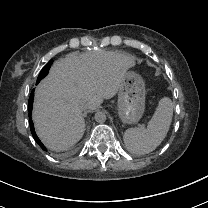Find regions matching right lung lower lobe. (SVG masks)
<instances>
[{"label":"right lung lower lobe","instance_id":"right-lung-lower-lobe-1","mask_svg":"<svg viewBox=\"0 0 208 208\" xmlns=\"http://www.w3.org/2000/svg\"><path fill=\"white\" fill-rule=\"evenodd\" d=\"M52 64V60L49 61L46 65H45V72H46V75L48 74V71L50 69V66ZM45 75V76H46ZM39 83V82H38ZM37 83V84H38ZM33 99H34V90H32L31 92V95H30V98H29V121H30V130H31V133L33 135V138L35 139V141L38 143V145L43 149V150H46V147L41 143V141L38 139L36 133H35V130H34V125H33V122H32V119H31V111H32V106H33Z\"/></svg>","mask_w":208,"mask_h":208}]
</instances>
